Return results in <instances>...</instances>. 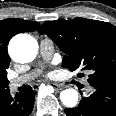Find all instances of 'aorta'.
<instances>
[{
	"instance_id": "aorta-1",
	"label": "aorta",
	"mask_w": 116,
	"mask_h": 116,
	"mask_svg": "<svg viewBox=\"0 0 116 116\" xmlns=\"http://www.w3.org/2000/svg\"><path fill=\"white\" fill-rule=\"evenodd\" d=\"M38 44L36 40L28 34L15 36L9 44V53L13 60L20 63H27L34 59L37 54ZM63 105L73 108L78 103V92L75 89H65L60 93Z\"/></svg>"
}]
</instances>
